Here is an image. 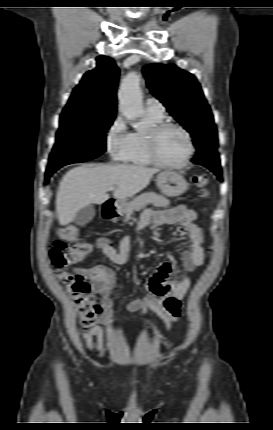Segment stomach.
<instances>
[{
	"mask_svg": "<svg viewBox=\"0 0 273 430\" xmlns=\"http://www.w3.org/2000/svg\"><path fill=\"white\" fill-rule=\"evenodd\" d=\"M156 183L161 192L167 197H178L184 194L188 188L184 177L172 170L160 172L156 178ZM126 205V201L121 200L118 209L123 211Z\"/></svg>",
	"mask_w": 273,
	"mask_h": 430,
	"instance_id": "stomach-1",
	"label": "stomach"
}]
</instances>
